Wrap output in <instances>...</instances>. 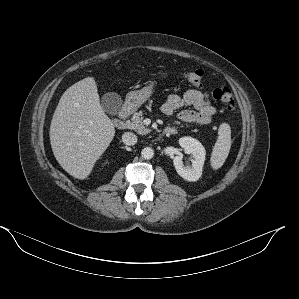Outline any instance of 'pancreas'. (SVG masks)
Listing matches in <instances>:
<instances>
[{
    "instance_id": "1",
    "label": "pancreas",
    "mask_w": 299,
    "mask_h": 299,
    "mask_svg": "<svg viewBox=\"0 0 299 299\" xmlns=\"http://www.w3.org/2000/svg\"><path fill=\"white\" fill-rule=\"evenodd\" d=\"M143 112L139 111L136 112L132 118L131 121H129L128 128L135 130L138 134L144 135L150 132V129L146 128L143 123Z\"/></svg>"
}]
</instances>
